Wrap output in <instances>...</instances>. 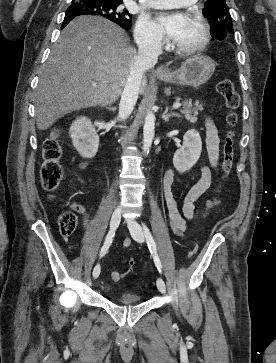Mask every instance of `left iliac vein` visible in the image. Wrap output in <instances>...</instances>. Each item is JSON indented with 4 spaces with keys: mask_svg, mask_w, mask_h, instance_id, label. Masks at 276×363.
<instances>
[{
    "mask_svg": "<svg viewBox=\"0 0 276 363\" xmlns=\"http://www.w3.org/2000/svg\"><path fill=\"white\" fill-rule=\"evenodd\" d=\"M128 227L131 233V236L139 243L144 242L145 235L142 227L140 224L135 221L134 219H128ZM157 288L161 293H165L166 291V285L162 278L157 279Z\"/></svg>",
    "mask_w": 276,
    "mask_h": 363,
    "instance_id": "left-iliac-vein-1",
    "label": "left iliac vein"
}]
</instances>
